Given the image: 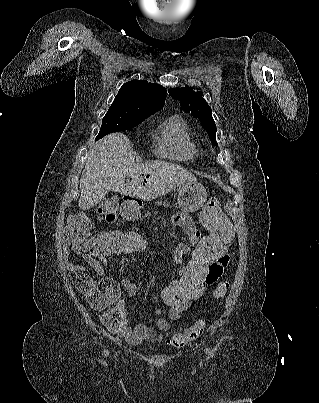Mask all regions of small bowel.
<instances>
[{"mask_svg": "<svg viewBox=\"0 0 319 403\" xmlns=\"http://www.w3.org/2000/svg\"><path fill=\"white\" fill-rule=\"evenodd\" d=\"M172 223L180 227L190 239L189 244H179L175 249V261L178 264H182V261L186 255L191 254L193 258V249H195V243L199 242V239L204 237L201 236L200 231L197 229L191 217L185 213L175 214L172 218ZM69 249L70 248H64L66 268L71 272H84L85 268L83 266L75 264L69 260ZM84 258L97 276L104 275V264L106 258H102V254H87L84 256ZM227 261L228 254L226 252H221L218 258L211 263L210 271L207 272L204 280L206 286H214L215 283L218 282L221 277L220 273H222L224 265L227 263ZM187 265L180 267V276L184 275V268L187 267ZM172 282H178V280ZM122 288L125 290L128 296H135L137 294V286L129 277L122 278L120 280V285H116L114 279H91L89 291H87V300H89L91 309H108L102 314V323L105 325L108 335H118L129 344H138L149 338L150 331L144 325L132 326L130 324L126 309V302L124 299L120 298ZM163 292L164 291H161L160 293L161 298ZM201 297L202 296H200V298ZM181 315L182 313H169V318L171 320H178ZM159 326L162 331H166L168 329V322L165 320H160ZM161 337V334L157 335V338Z\"/></svg>", "mask_w": 319, "mask_h": 403, "instance_id": "c3829d8e", "label": "small bowel"}]
</instances>
